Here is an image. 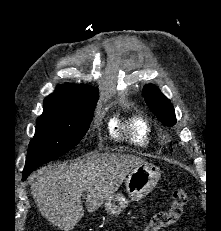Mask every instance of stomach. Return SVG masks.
Masks as SVG:
<instances>
[{"mask_svg": "<svg viewBox=\"0 0 221 231\" xmlns=\"http://www.w3.org/2000/svg\"><path fill=\"white\" fill-rule=\"evenodd\" d=\"M160 178V170L153 164L143 163L135 167L126 179V191L131 200L138 201L148 195ZM129 201L121 193H116L105 202V210L110 215H119Z\"/></svg>", "mask_w": 221, "mask_h": 231, "instance_id": "stomach-1", "label": "stomach"}]
</instances>
